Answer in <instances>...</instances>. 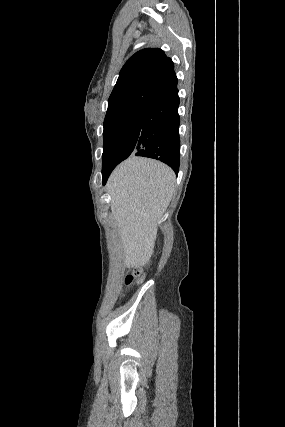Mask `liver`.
Instances as JSON below:
<instances>
[{
    "label": "liver",
    "instance_id": "liver-1",
    "mask_svg": "<svg viewBox=\"0 0 285 427\" xmlns=\"http://www.w3.org/2000/svg\"><path fill=\"white\" fill-rule=\"evenodd\" d=\"M176 176L160 161L131 156L109 177L107 191L128 267L141 268L152 254L157 224L172 198Z\"/></svg>",
    "mask_w": 285,
    "mask_h": 427
}]
</instances>
